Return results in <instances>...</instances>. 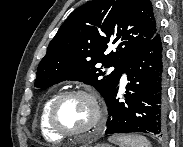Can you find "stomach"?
I'll return each instance as SVG.
<instances>
[{
    "mask_svg": "<svg viewBox=\"0 0 183 147\" xmlns=\"http://www.w3.org/2000/svg\"><path fill=\"white\" fill-rule=\"evenodd\" d=\"M94 147H111V146L108 144H97Z\"/></svg>",
    "mask_w": 183,
    "mask_h": 147,
    "instance_id": "obj_1",
    "label": "stomach"
}]
</instances>
